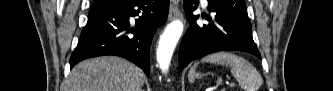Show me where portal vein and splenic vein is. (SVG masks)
<instances>
[{
  "mask_svg": "<svg viewBox=\"0 0 333 91\" xmlns=\"http://www.w3.org/2000/svg\"><path fill=\"white\" fill-rule=\"evenodd\" d=\"M222 82V80H217V85H219ZM231 86H233L234 84H230Z\"/></svg>",
  "mask_w": 333,
  "mask_h": 91,
  "instance_id": "18ae733b",
  "label": "portal vein and splenic vein"
}]
</instances>
